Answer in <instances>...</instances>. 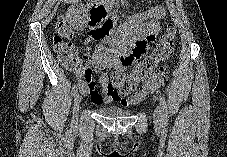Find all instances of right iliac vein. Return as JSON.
<instances>
[{"label": "right iliac vein", "mask_w": 227, "mask_h": 157, "mask_svg": "<svg viewBox=\"0 0 227 157\" xmlns=\"http://www.w3.org/2000/svg\"><path fill=\"white\" fill-rule=\"evenodd\" d=\"M80 103H81V96L76 93L74 95V105H73V111H74V117L77 118L79 108H80Z\"/></svg>", "instance_id": "1"}]
</instances>
